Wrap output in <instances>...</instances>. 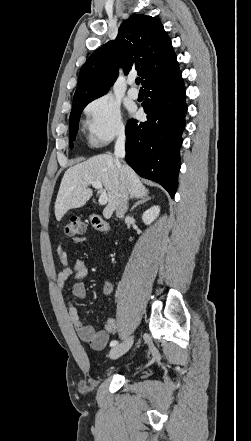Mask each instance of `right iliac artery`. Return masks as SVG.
I'll return each instance as SVG.
<instances>
[{"label": "right iliac artery", "instance_id": "obj_1", "mask_svg": "<svg viewBox=\"0 0 251 441\" xmlns=\"http://www.w3.org/2000/svg\"><path fill=\"white\" fill-rule=\"evenodd\" d=\"M117 344H118V341H117V340H113V341H111L110 346H111V347H114V346H116Z\"/></svg>", "mask_w": 251, "mask_h": 441}]
</instances>
